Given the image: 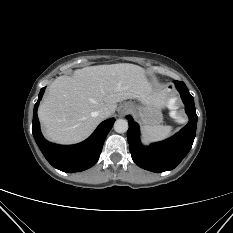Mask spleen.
<instances>
[{
    "instance_id": "spleen-1",
    "label": "spleen",
    "mask_w": 233,
    "mask_h": 233,
    "mask_svg": "<svg viewBox=\"0 0 233 233\" xmlns=\"http://www.w3.org/2000/svg\"><path fill=\"white\" fill-rule=\"evenodd\" d=\"M170 116L176 119L178 122H182L183 119L178 116L176 111H171ZM142 133L144 138L149 142L161 141L168 138L172 134L171 126H143Z\"/></svg>"
}]
</instances>
